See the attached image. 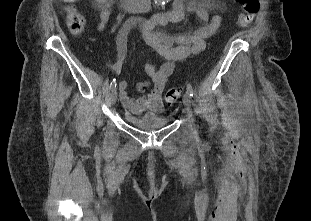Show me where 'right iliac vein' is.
Returning a JSON list of instances; mask_svg holds the SVG:
<instances>
[{"instance_id": "63e3f726", "label": "right iliac vein", "mask_w": 311, "mask_h": 221, "mask_svg": "<svg viewBox=\"0 0 311 221\" xmlns=\"http://www.w3.org/2000/svg\"><path fill=\"white\" fill-rule=\"evenodd\" d=\"M116 101H117V90L116 88H114L111 90V93H110V103L114 105Z\"/></svg>"}]
</instances>
